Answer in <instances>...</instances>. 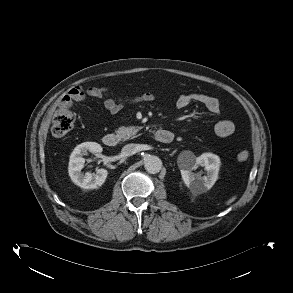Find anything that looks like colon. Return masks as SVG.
Returning <instances> with one entry per match:
<instances>
[{
    "instance_id": "obj_1",
    "label": "colon",
    "mask_w": 293,
    "mask_h": 293,
    "mask_svg": "<svg viewBox=\"0 0 293 293\" xmlns=\"http://www.w3.org/2000/svg\"><path fill=\"white\" fill-rule=\"evenodd\" d=\"M74 112L64 106H59L52 120V133L56 137H62L70 132L75 124ZM249 158L247 150L240 151L237 154V160L240 162L246 161Z\"/></svg>"
}]
</instances>
